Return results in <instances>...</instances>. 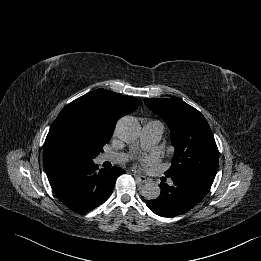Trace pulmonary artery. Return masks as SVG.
<instances>
[{
	"label": "pulmonary artery",
	"instance_id": "pulmonary-artery-1",
	"mask_svg": "<svg viewBox=\"0 0 261 261\" xmlns=\"http://www.w3.org/2000/svg\"><path fill=\"white\" fill-rule=\"evenodd\" d=\"M163 133V125L158 121H150L143 125L141 144L144 147H151L159 142ZM124 153H105L99 157L100 162L121 163L126 160Z\"/></svg>",
	"mask_w": 261,
	"mask_h": 261
}]
</instances>
